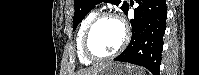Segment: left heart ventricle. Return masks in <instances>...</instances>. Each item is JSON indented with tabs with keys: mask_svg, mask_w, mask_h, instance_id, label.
<instances>
[{
	"mask_svg": "<svg viewBox=\"0 0 199 75\" xmlns=\"http://www.w3.org/2000/svg\"><path fill=\"white\" fill-rule=\"evenodd\" d=\"M123 31L112 19L101 20L92 30L89 38L90 50L99 56L113 52L121 43Z\"/></svg>",
	"mask_w": 199,
	"mask_h": 75,
	"instance_id": "1",
	"label": "left heart ventricle"
}]
</instances>
